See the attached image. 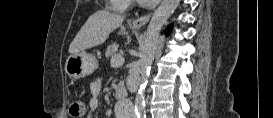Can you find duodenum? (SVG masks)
<instances>
[{
  "label": "duodenum",
  "instance_id": "410a0bca",
  "mask_svg": "<svg viewBox=\"0 0 273 118\" xmlns=\"http://www.w3.org/2000/svg\"><path fill=\"white\" fill-rule=\"evenodd\" d=\"M128 94V90L126 86L123 83H118L116 88H115V95L118 99H122L126 97Z\"/></svg>",
  "mask_w": 273,
  "mask_h": 118
}]
</instances>
